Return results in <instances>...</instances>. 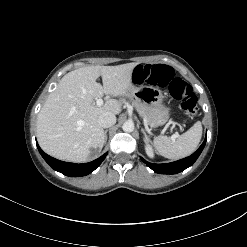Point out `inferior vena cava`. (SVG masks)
Wrapping results in <instances>:
<instances>
[{
  "mask_svg": "<svg viewBox=\"0 0 247 247\" xmlns=\"http://www.w3.org/2000/svg\"><path fill=\"white\" fill-rule=\"evenodd\" d=\"M98 123L102 128H108L116 123V117L112 113H104L99 116Z\"/></svg>",
  "mask_w": 247,
  "mask_h": 247,
  "instance_id": "inferior-vena-cava-1",
  "label": "inferior vena cava"
}]
</instances>
